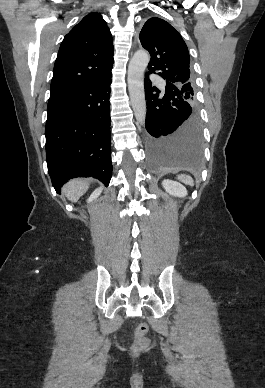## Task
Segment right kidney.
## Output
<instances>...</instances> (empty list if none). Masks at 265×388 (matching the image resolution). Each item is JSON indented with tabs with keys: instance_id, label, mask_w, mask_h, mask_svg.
<instances>
[{
	"instance_id": "1",
	"label": "right kidney",
	"mask_w": 265,
	"mask_h": 388,
	"mask_svg": "<svg viewBox=\"0 0 265 388\" xmlns=\"http://www.w3.org/2000/svg\"><path fill=\"white\" fill-rule=\"evenodd\" d=\"M102 192V188H97V190H95V192H93V194H91L88 202H93V200H96V198H98V196H100Z\"/></svg>"
}]
</instances>
